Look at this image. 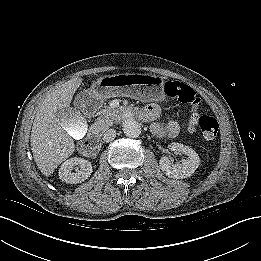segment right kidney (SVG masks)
Here are the masks:
<instances>
[{
	"label": "right kidney",
	"instance_id": "right-kidney-1",
	"mask_svg": "<svg viewBox=\"0 0 261 261\" xmlns=\"http://www.w3.org/2000/svg\"><path fill=\"white\" fill-rule=\"evenodd\" d=\"M84 133L85 131H81L79 137H82ZM73 169H75L76 172H72ZM92 171L91 162L83 158L73 157L66 160L60 166L59 178L67 183L77 184L88 179Z\"/></svg>",
	"mask_w": 261,
	"mask_h": 261
}]
</instances>
